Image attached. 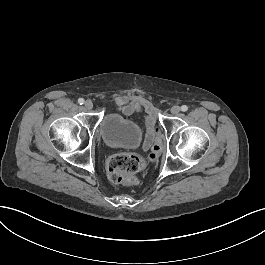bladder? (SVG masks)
<instances>
[{
  "label": "bladder",
  "instance_id": "obj_1",
  "mask_svg": "<svg viewBox=\"0 0 265 265\" xmlns=\"http://www.w3.org/2000/svg\"><path fill=\"white\" fill-rule=\"evenodd\" d=\"M100 135L110 147L133 148L140 142L141 129L121 114L109 111L100 122Z\"/></svg>",
  "mask_w": 265,
  "mask_h": 265
}]
</instances>
